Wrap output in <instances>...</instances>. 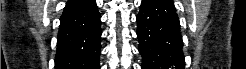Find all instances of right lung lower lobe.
Listing matches in <instances>:
<instances>
[{
	"label": "right lung lower lobe",
	"mask_w": 246,
	"mask_h": 69,
	"mask_svg": "<svg viewBox=\"0 0 246 69\" xmlns=\"http://www.w3.org/2000/svg\"><path fill=\"white\" fill-rule=\"evenodd\" d=\"M100 22L94 0H68L60 18L55 69H100Z\"/></svg>",
	"instance_id": "obj_1"
}]
</instances>
